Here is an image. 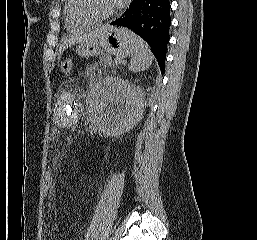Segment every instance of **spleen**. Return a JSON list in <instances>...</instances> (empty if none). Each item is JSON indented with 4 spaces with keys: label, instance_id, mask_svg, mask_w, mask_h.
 I'll return each instance as SVG.
<instances>
[{
    "label": "spleen",
    "instance_id": "spleen-1",
    "mask_svg": "<svg viewBox=\"0 0 257 240\" xmlns=\"http://www.w3.org/2000/svg\"><path fill=\"white\" fill-rule=\"evenodd\" d=\"M130 44L131 60L129 69L133 72H140L148 69L153 61V54L145 41L135 33L125 30Z\"/></svg>",
    "mask_w": 257,
    "mask_h": 240
}]
</instances>
